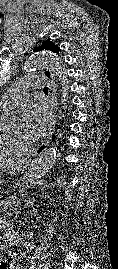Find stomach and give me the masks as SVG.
Segmentation results:
<instances>
[{
	"label": "stomach",
	"instance_id": "0dacf381",
	"mask_svg": "<svg viewBox=\"0 0 118 269\" xmlns=\"http://www.w3.org/2000/svg\"><path fill=\"white\" fill-rule=\"evenodd\" d=\"M27 168V165L25 164H20V165H17V166H14L13 167V171H16V172H24V170Z\"/></svg>",
	"mask_w": 118,
	"mask_h": 269
}]
</instances>
